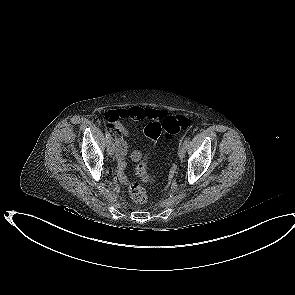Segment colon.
I'll list each match as a JSON object with an SVG mask.
<instances>
[{
	"label": "colon",
	"instance_id": "5ec220e1",
	"mask_svg": "<svg viewBox=\"0 0 295 295\" xmlns=\"http://www.w3.org/2000/svg\"><path fill=\"white\" fill-rule=\"evenodd\" d=\"M190 127L191 120L183 115L165 116L159 122L150 123L143 130L144 138L148 139V142L150 143L145 155L147 157L152 155L154 149L158 145L159 136L163 135L166 138H170L181 131L188 130ZM146 168V160L141 161L136 166V174L144 181H152L153 178L147 174ZM129 195L131 199L138 204H144L148 200V195L145 189L138 182L131 183L129 186Z\"/></svg>",
	"mask_w": 295,
	"mask_h": 295
}]
</instances>
